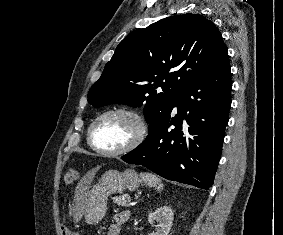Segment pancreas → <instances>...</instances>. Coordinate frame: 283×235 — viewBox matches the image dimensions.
Instances as JSON below:
<instances>
[{
    "label": "pancreas",
    "instance_id": "pancreas-1",
    "mask_svg": "<svg viewBox=\"0 0 283 235\" xmlns=\"http://www.w3.org/2000/svg\"><path fill=\"white\" fill-rule=\"evenodd\" d=\"M129 201H130V196L128 194H124L122 196L115 197L113 199L114 203L123 207H129L130 206Z\"/></svg>",
    "mask_w": 283,
    "mask_h": 235
}]
</instances>
